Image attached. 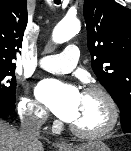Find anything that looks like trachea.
<instances>
[{
  "instance_id": "3493384b",
  "label": "trachea",
  "mask_w": 131,
  "mask_h": 151,
  "mask_svg": "<svg viewBox=\"0 0 131 151\" xmlns=\"http://www.w3.org/2000/svg\"><path fill=\"white\" fill-rule=\"evenodd\" d=\"M55 4H60L61 0H54Z\"/></svg>"
}]
</instances>
